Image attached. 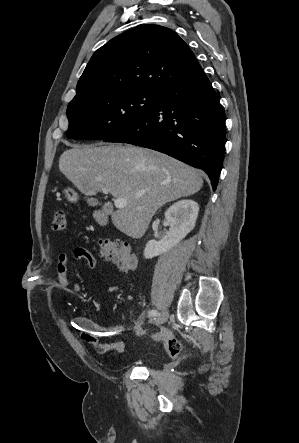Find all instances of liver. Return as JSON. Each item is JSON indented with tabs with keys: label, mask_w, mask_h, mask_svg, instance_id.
Listing matches in <instances>:
<instances>
[{
	"label": "liver",
	"mask_w": 299,
	"mask_h": 443,
	"mask_svg": "<svg viewBox=\"0 0 299 443\" xmlns=\"http://www.w3.org/2000/svg\"><path fill=\"white\" fill-rule=\"evenodd\" d=\"M59 169L83 194L92 196L103 188L127 206L102 209L121 232L140 238L156 211L167 202L187 197L203 186L195 168L152 150L122 145L73 146L63 152Z\"/></svg>",
	"instance_id": "6515ba94"
}]
</instances>
